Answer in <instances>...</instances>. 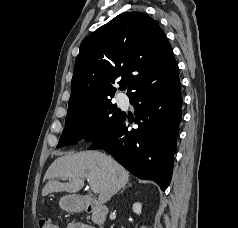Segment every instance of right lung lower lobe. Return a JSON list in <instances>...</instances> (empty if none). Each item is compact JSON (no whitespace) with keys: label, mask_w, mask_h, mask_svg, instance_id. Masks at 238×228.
<instances>
[{"label":"right lung lower lobe","mask_w":238,"mask_h":228,"mask_svg":"<svg viewBox=\"0 0 238 228\" xmlns=\"http://www.w3.org/2000/svg\"><path fill=\"white\" fill-rule=\"evenodd\" d=\"M130 102L136 106L134 122L139 127L128 130L131 121L123 115L113 128L93 140L89 149H104L134 176L152 180L164 191L171 181L181 120L178 75L169 82L137 92Z\"/></svg>","instance_id":"98d812e1"}]
</instances>
